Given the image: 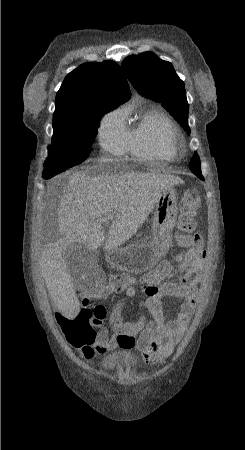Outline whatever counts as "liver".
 I'll list each match as a JSON object with an SVG mask.
<instances>
[{
    "mask_svg": "<svg viewBox=\"0 0 245 450\" xmlns=\"http://www.w3.org/2000/svg\"><path fill=\"white\" fill-rule=\"evenodd\" d=\"M179 177L161 173H99L84 171L69 176L66 193L60 198L58 231L63 236L42 250L40 266L51 298L67 317H75L80 308L74 283L65 260L73 243L97 251L116 249L128 241L143 225L162 192L182 184ZM113 215L105 235L102 219Z\"/></svg>",
    "mask_w": 245,
    "mask_h": 450,
    "instance_id": "1",
    "label": "liver"
}]
</instances>
